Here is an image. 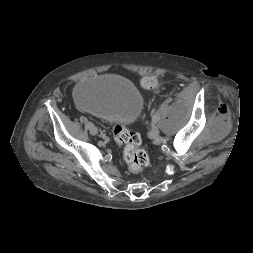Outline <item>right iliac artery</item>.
<instances>
[{"instance_id":"obj_1","label":"right iliac artery","mask_w":253,"mask_h":253,"mask_svg":"<svg viewBox=\"0 0 253 253\" xmlns=\"http://www.w3.org/2000/svg\"><path fill=\"white\" fill-rule=\"evenodd\" d=\"M86 124H87L88 128H90L91 126H93V124L91 122H87Z\"/></svg>"}]
</instances>
